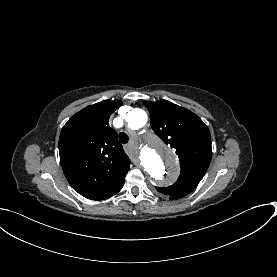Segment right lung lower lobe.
Masks as SVG:
<instances>
[{"label": "right lung lower lobe", "instance_id": "98d812e1", "mask_svg": "<svg viewBox=\"0 0 277 277\" xmlns=\"http://www.w3.org/2000/svg\"><path fill=\"white\" fill-rule=\"evenodd\" d=\"M106 173H107V174H109V173H110V170H109V171H107Z\"/></svg>", "mask_w": 277, "mask_h": 277}]
</instances>
